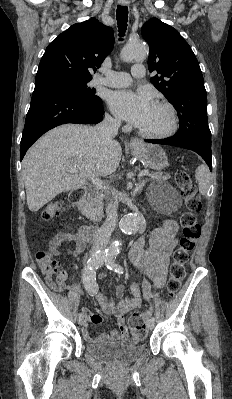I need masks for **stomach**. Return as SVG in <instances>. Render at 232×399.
I'll return each mask as SVG.
<instances>
[{
  "label": "stomach",
  "mask_w": 232,
  "mask_h": 399,
  "mask_svg": "<svg viewBox=\"0 0 232 399\" xmlns=\"http://www.w3.org/2000/svg\"><path fill=\"white\" fill-rule=\"evenodd\" d=\"M130 148L132 156L143 162L144 166H148L151 170H163L168 166L167 156L160 146L144 144L142 140H135Z\"/></svg>",
  "instance_id": "1"
}]
</instances>
